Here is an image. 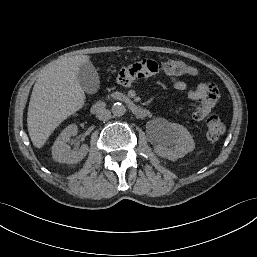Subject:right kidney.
Here are the masks:
<instances>
[{"mask_svg": "<svg viewBox=\"0 0 257 257\" xmlns=\"http://www.w3.org/2000/svg\"><path fill=\"white\" fill-rule=\"evenodd\" d=\"M78 127L75 124L67 126L59 135L52 146L53 159L59 163L73 164L81 161L88 153V145L83 144L79 149L71 150L68 142L70 137L75 136Z\"/></svg>", "mask_w": 257, "mask_h": 257, "instance_id": "right-kidney-1", "label": "right kidney"}]
</instances>
